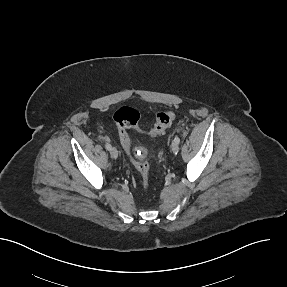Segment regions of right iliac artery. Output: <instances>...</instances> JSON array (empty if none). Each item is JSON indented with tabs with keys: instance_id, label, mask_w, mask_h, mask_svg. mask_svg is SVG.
<instances>
[{
	"instance_id": "right-iliac-artery-1",
	"label": "right iliac artery",
	"mask_w": 287,
	"mask_h": 287,
	"mask_svg": "<svg viewBox=\"0 0 287 287\" xmlns=\"http://www.w3.org/2000/svg\"><path fill=\"white\" fill-rule=\"evenodd\" d=\"M105 148H106L107 150H109V151H110V149H111V145H110V144H108V143H106V144H105Z\"/></svg>"
}]
</instances>
